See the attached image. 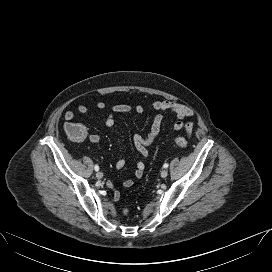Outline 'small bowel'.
<instances>
[{
  "instance_id": "1",
  "label": "small bowel",
  "mask_w": 272,
  "mask_h": 272,
  "mask_svg": "<svg viewBox=\"0 0 272 272\" xmlns=\"http://www.w3.org/2000/svg\"><path fill=\"white\" fill-rule=\"evenodd\" d=\"M152 109L158 112V114L154 117L153 122L151 124V128L149 133L146 136H142L136 134L133 136V144L139 154L146 158L149 156L148 148L154 143L156 138L158 137L162 124L164 121V113H172L177 117V121L173 123L172 128L175 131L185 130L188 135H190L193 131V121L188 120L187 122H183L182 119L184 118H192L194 115V111L189 106L176 102V101H168V100H155L151 103ZM96 108L98 110L106 109V104L104 102H98L96 104ZM112 112L109 113L105 119V125L108 128H112L115 124V117L114 114L117 113H137L140 114L144 111L142 105H130V104H123L118 103L112 106ZM77 112L82 115L89 116L90 112L89 109L84 105H79L77 107ZM75 114L72 111H67L64 114V119L67 122H70L74 119ZM89 141L91 143H97L99 141V136L97 134H90ZM125 159H120L115 164V168L117 170L122 169L125 166ZM145 165L142 161H138L136 164V169L134 171V175L136 178H141L144 173ZM123 187L129 188L133 185V180L126 179L122 183ZM109 187L113 191V199L115 201L119 200L120 192L114 188L112 184H109Z\"/></svg>"
}]
</instances>
